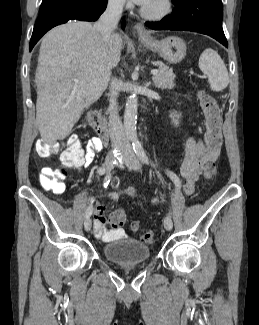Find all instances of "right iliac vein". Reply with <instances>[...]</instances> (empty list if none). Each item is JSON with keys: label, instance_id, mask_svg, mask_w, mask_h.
I'll return each mask as SVG.
<instances>
[{"label": "right iliac vein", "instance_id": "1", "mask_svg": "<svg viewBox=\"0 0 259 325\" xmlns=\"http://www.w3.org/2000/svg\"><path fill=\"white\" fill-rule=\"evenodd\" d=\"M104 165L106 167L107 172L111 171L112 168H113V165H114V157L113 156H108L106 158V160H105ZM91 226H92L91 219L90 218H86V220L84 222L85 231H87V232L90 231Z\"/></svg>", "mask_w": 259, "mask_h": 325}]
</instances>
